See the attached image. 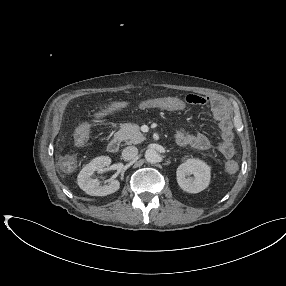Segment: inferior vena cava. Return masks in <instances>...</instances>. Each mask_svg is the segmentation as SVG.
I'll return each mask as SVG.
<instances>
[{
	"label": "inferior vena cava",
	"instance_id": "602c4592",
	"mask_svg": "<svg viewBox=\"0 0 286 286\" xmlns=\"http://www.w3.org/2000/svg\"><path fill=\"white\" fill-rule=\"evenodd\" d=\"M138 154V149L135 146H128L122 152V158L124 160H132Z\"/></svg>",
	"mask_w": 286,
	"mask_h": 286
}]
</instances>
